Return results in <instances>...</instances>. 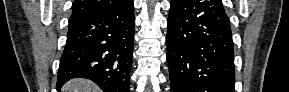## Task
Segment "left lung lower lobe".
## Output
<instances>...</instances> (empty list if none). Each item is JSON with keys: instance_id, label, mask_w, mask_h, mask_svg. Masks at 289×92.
Returning a JSON list of instances; mask_svg holds the SVG:
<instances>
[{"instance_id": "0a47b994", "label": "left lung lower lobe", "mask_w": 289, "mask_h": 92, "mask_svg": "<svg viewBox=\"0 0 289 92\" xmlns=\"http://www.w3.org/2000/svg\"><path fill=\"white\" fill-rule=\"evenodd\" d=\"M167 61L171 92H234V49L221 0H172Z\"/></svg>"}]
</instances>
